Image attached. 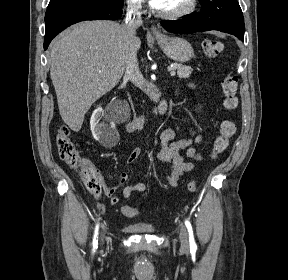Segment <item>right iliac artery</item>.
<instances>
[{
    "instance_id": "1",
    "label": "right iliac artery",
    "mask_w": 288,
    "mask_h": 280,
    "mask_svg": "<svg viewBox=\"0 0 288 280\" xmlns=\"http://www.w3.org/2000/svg\"><path fill=\"white\" fill-rule=\"evenodd\" d=\"M98 229H99V225L97 224L95 227V232L93 236V252H95V250L97 249V245H98Z\"/></svg>"
}]
</instances>
